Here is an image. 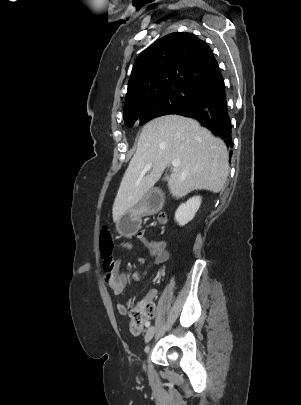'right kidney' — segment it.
Instances as JSON below:
<instances>
[{
    "label": "right kidney",
    "mask_w": 301,
    "mask_h": 405,
    "mask_svg": "<svg viewBox=\"0 0 301 405\" xmlns=\"http://www.w3.org/2000/svg\"><path fill=\"white\" fill-rule=\"evenodd\" d=\"M201 202V197L195 196L187 200V202L182 203L175 212V221L180 226H184L189 223L199 210Z\"/></svg>",
    "instance_id": "ca27d5eb"
}]
</instances>
